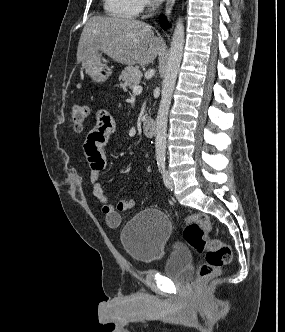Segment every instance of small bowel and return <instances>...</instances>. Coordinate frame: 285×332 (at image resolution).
Wrapping results in <instances>:
<instances>
[{"label":"small bowel","instance_id":"1","mask_svg":"<svg viewBox=\"0 0 285 332\" xmlns=\"http://www.w3.org/2000/svg\"><path fill=\"white\" fill-rule=\"evenodd\" d=\"M115 120L106 111H99L96 116L95 126L87 134L84 142V152L90 166V182L92 192L96 200L102 206L106 224L116 228L121 223L120 213L132 209L136 200H120L117 205L110 203L109 198L101 182V173L106 166L104 147L109 137L115 131Z\"/></svg>","mask_w":285,"mask_h":332}]
</instances>
